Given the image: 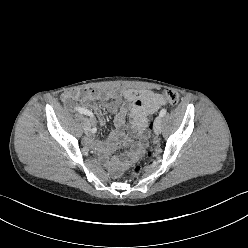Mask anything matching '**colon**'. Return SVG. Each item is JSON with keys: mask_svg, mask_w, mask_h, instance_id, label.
Listing matches in <instances>:
<instances>
[{"mask_svg": "<svg viewBox=\"0 0 248 248\" xmlns=\"http://www.w3.org/2000/svg\"><path fill=\"white\" fill-rule=\"evenodd\" d=\"M162 98L167 103H169L171 105H176L178 103V100H179L177 92H175L174 90H170V89H167V90L163 91ZM148 126H149V128L152 127V122L151 121L148 122ZM132 173L134 175H139L141 173V167L138 166V165L135 166L133 168V170H132Z\"/></svg>", "mask_w": 248, "mask_h": 248, "instance_id": "1", "label": "colon"}]
</instances>
